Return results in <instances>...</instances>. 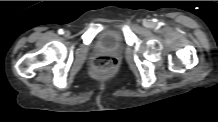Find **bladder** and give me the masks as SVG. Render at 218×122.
<instances>
[{
    "mask_svg": "<svg viewBox=\"0 0 218 122\" xmlns=\"http://www.w3.org/2000/svg\"><path fill=\"white\" fill-rule=\"evenodd\" d=\"M95 45L103 50H117L123 46V37L117 30H108L97 37Z\"/></svg>",
    "mask_w": 218,
    "mask_h": 122,
    "instance_id": "31cf9c89",
    "label": "bladder"
}]
</instances>
